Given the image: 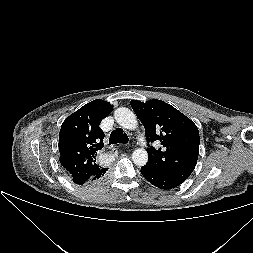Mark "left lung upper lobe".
<instances>
[{
    "instance_id": "obj_1",
    "label": "left lung upper lobe",
    "mask_w": 253,
    "mask_h": 253,
    "mask_svg": "<svg viewBox=\"0 0 253 253\" xmlns=\"http://www.w3.org/2000/svg\"><path fill=\"white\" fill-rule=\"evenodd\" d=\"M130 104L145 128L147 141L161 143L158 149L149 145L145 166L174 181L184 182L194 170L199 155L197 126L161 100L146 103L132 100Z\"/></svg>"
}]
</instances>
